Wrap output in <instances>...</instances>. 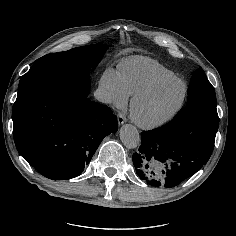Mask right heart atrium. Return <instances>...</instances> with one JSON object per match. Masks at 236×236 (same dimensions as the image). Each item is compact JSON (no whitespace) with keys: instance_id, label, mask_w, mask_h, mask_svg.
Segmentation results:
<instances>
[{"instance_id":"d8ad5b80","label":"right heart atrium","mask_w":236,"mask_h":236,"mask_svg":"<svg viewBox=\"0 0 236 236\" xmlns=\"http://www.w3.org/2000/svg\"><path fill=\"white\" fill-rule=\"evenodd\" d=\"M102 100L105 104L116 108L127 105L129 94L123 85L120 73L113 68H105L100 78Z\"/></svg>"}]
</instances>
